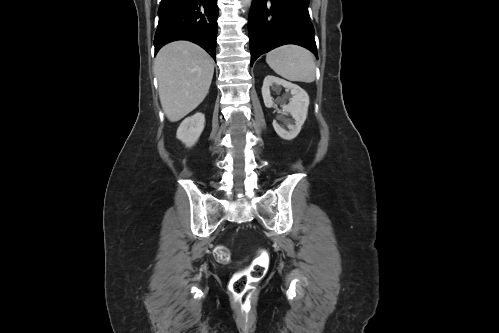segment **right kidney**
I'll use <instances>...</instances> for the list:
<instances>
[{"label":"right kidney","instance_id":"ca27d5eb","mask_svg":"<svg viewBox=\"0 0 499 333\" xmlns=\"http://www.w3.org/2000/svg\"><path fill=\"white\" fill-rule=\"evenodd\" d=\"M205 124L203 113H196L186 118L177 130V138L187 147L193 146L199 139Z\"/></svg>","mask_w":499,"mask_h":333}]
</instances>
